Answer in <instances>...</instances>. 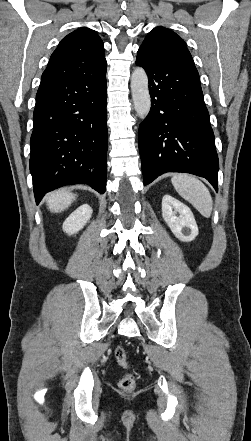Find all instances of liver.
<instances>
[{"label": "liver", "instance_id": "liver-1", "mask_svg": "<svg viewBox=\"0 0 251 441\" xmlns=\"http://www.w3.org/2000/svg\"><path fill=\"white\" fill-rule=\"evenodd\" d=\"M75 198V194L66 190H57L47 197L46 202L51 212L58 213L67 209Z\"/></svg>", "mask_w": 251, "mask_h": 441}]
</instances>
